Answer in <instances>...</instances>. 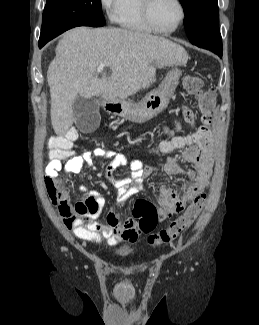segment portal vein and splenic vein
Here are the masks:
<instances>
[{
    "instance_id": "portal-vein-and-splenic-vein-1",
    "label": "portal vein and splenic vein",
    "mask_w": 259,
    "mask_h": 325,
    "mask_svg": "<svg viewBox=\"0 0 259 325\" xmlns=\"http://www.w3.org/2000/svg\"><path fill=\"white\" fill-rule=\"evenodd\" d=\"M104 68H105V64L104 63H101L99 65L98 69H97L96 74H100L103 71Z\"/></svg>"
}]
</instances>
